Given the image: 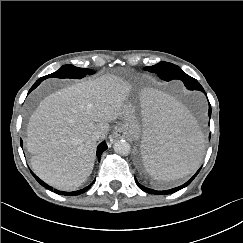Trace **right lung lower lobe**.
<instances>
[{"label": "right lung lower lobe", "instance_id": "1", "mask_svg": "<svg viewBox=\"0 0 243 243\" xmlns=\"http://www.w3.org/2000/svg\"><path fill=\"white\" fill-rule=\"evenodd\" d=\"M41 79L37 80L36 83L32 86V88L30 89V91H32L33 89H35L40 83H41ZM21 145H22V140H21ZM107 145L105 143V141H103L102 143L99 144L98 148H97V158L98 160H100L101 158V154L107 149ZM33 174V173H32ZM33 176L35 177V179L45 188L49 189V190H53L55 193L57 194H61V195H79L81 193H84L85 191H87L91 185L95 182H93L92 184H90L89 186H87L86 188L79 190V191H74V192H63V191H59L56 189H53L51 186L47 185L46 183H44L42 180H40L35 174H33Z\"/></svg>", "mask_w": 243, "mask_h": 243}]
</instances>
